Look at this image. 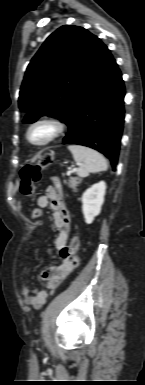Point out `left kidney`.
Instances as JSON below:
<instances>
[{
    "instance_id": "left-kidney-1",
    "label": "left kidney",
    "mask_w": 145,
    "mask_h": 385,
    "mask_svg": "<svg viewBox=\"0 0 145 385\" xmlns=\"http://www.w3.org/2000/svg\"><path fill=\"white\" fill-rule=\"evenodd\" d=\"M106 192V183L93 184L82 195V211L87 224H91L101 212Z\"/></svg>"
}]
</instances>
